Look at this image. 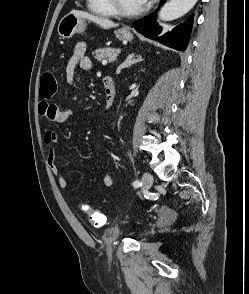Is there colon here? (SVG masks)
Here are the masks:
<instances>
[{"label":"colon","mask_w":249,"mask_h":294,"mask_svg":"<svg viewBox=\"0 0 249 294\" xmlns=\"http://www.w3.org/2000/svg\"><path fill=\"white\" fill-rule=\"evenodd\" d=\"M58 91V78L53 70L45 71L40 79L39 96L43 100L51 99ZM81 211L87 216L91 225L95 228H101L105 225V216L92 209L88 204L80 205Z\"/></svg>","instance_id":"obj_1"}]
</instances>
